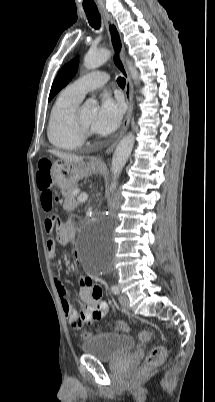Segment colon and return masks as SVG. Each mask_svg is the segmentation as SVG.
<instances>
[{
  "mask_svg": "<svg viewBox=\"0 0 215 402\" xmlns=\"http://www.w3.org/2000/svg\"><path fill=\"white\" fill-rule=\"evenodd\" d=\"M53 159L51 156H41L38 162L37 172H36V182L37 187L41 192V201L45 210H50L55 202L54 193L52 190L53 179L51 172V164ZM55 220L53 218H47L44 222V227L46 230H52L54 227ZM116 329L118 331L126 332L129 327L125 322L119 321L116 323ZM90 333H86L85 337H90ZM151 338V333L148 331H142L139 333V339L141 341H148ZM166 356V350L163 346H156L148 353L144 369L149 370L160 365Z\"/></svg>",
  "mask_w": 215,
  "mask_h": 402,
  "instance_id": "1",
  "label": "colon"
}]
</instances>
